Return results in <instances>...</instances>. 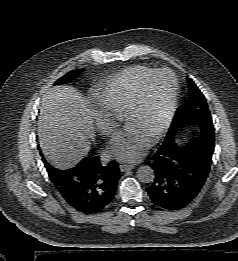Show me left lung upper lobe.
Returning a JSON list of instances; mask_svg holds the SVG:
<instances>
[{"mask_svg":"<svg viewBox=\"0 0 238 261\" xmlns=\"http://www.w3.org/2000/svg\"><path fill=\"white\" fill-rule=\"evenodd\" d=\"M189 87L191 92L190 99L182 104L176 111L167 136L163 142L164 144L174 142L176 131L182 125L197 123L199 127L204 125L214 127L204 95L192 80H190Z\"/></svg>","mask_w":238,"mask_h":261,"instance_id":"5c2ea615","label":"left lung upper lobe"}]
</instances>
